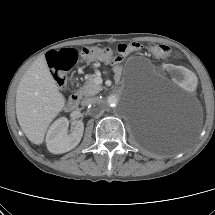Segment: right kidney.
<instances>
[{"mask_svg": "<svg viewBox=\"0 0 215 215\" xmlns=\"http://www.w3.org/2000/svg\"><path fill=\"white\" fill-rule=\"evenodd\" d=\"M68 126L69 122L65 117L59 118L50 126L46 135L49 152L53 154L65 153L79 144L84 131L83 122L78 121L70 134H68Z\"/></svg>", "mask_w": 215, "mask_h": 215, "instance_id": "obj_1", "label": "right kidney"}]
</instances>
